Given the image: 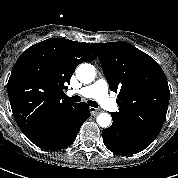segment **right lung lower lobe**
Segmentation results:
<instances>
[{"mask_svg": "<svg viewBox=\"0 0 178 178\" xmlns=\"http://www.w3.org/2000/svg\"><path fill=\"white\" fill-rule=\"evenodd\" d=\"M89 117V106L86 103H79L67 120L43 127L25 136L42 149L61 150L74 142L82 124Z\"/></svg>", "mask_w": 178, "mask_h": 178, "instance_id": "98d812e1", "label": "right lung lower lobe"}]
</instances>
